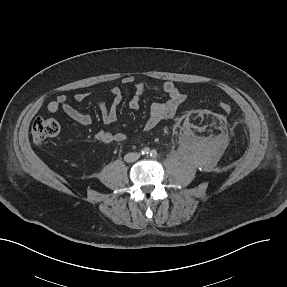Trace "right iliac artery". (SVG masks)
<instances>
[{
    "label": "right iliac artery",
    "mask_w": 287,
    "mask_h": 287,
    "mask_svg": "<svg viewBox=\"0 0 287 287\" xmlns=\"http://www.w3.org/2000/svg\"><path fill=\"white\" fill-rule=\"evenodd\" d=\"M150 153V149L149 148H143L142 150H141V154L142 155H148Z\"/></svg>",
    "instance_id": "obj_1"
}]
</instances>
